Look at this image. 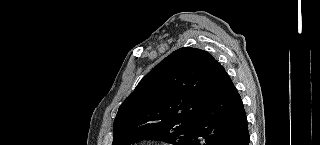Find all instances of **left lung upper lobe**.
Listing matches in <instances>:
<instances>
[{"label":"left lung upper lobe","mask_w":320,"mask_h":145,"mask_svg":"<svg viewBox=\"0 0 320 145\" xmlns=\"http://www.w3.org/2000/svg\"><path fill=\"white\" fill-rule=\"evenodd\" d=\"M218 62L183 47L154 67L120 106L112 145L159 140L186 145L205 106L206 83Z\"/></svg>","instance_id":"1"}]
</instances>
